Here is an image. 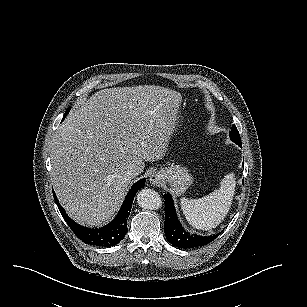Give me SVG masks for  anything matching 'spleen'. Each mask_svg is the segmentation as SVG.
Masks as SVG:
<instances>
[{"label": "spleen", "mask_w": 307, "mask_h": 307, "mask_svg": "<svg viewBox=\"0 0 307 307\" xmlns=\"http://www.w3.org/2000/svg\"><path fill=\"white\" fill-rule=\"evenodd\" d=\"M234 173L224 176L220 188L200 199L181 198V209L188 223L200 230L216 228L228 214L235 194Z\"/></svg>", "instance_id": "spleen-1"}]
</instances>
